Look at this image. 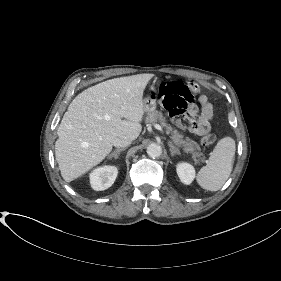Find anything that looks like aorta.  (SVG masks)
<instances>
[{
  "label": "aorta",
  "mask_w": 281,
  "mask_h": 281,
  "mask_svg": "<svg viewBox=\"0 0 281 281\" xmlns=\"http://www.w3.org/2000/svg\"><path fill=\"white\" fill-rule=\"evenodd\" d=\"M147 154L151 158L159 157L162 154V148L160 145L152 143L147 147Z\"/></svg>",
  "instance_id": "obj_1"
}]
</instances>
